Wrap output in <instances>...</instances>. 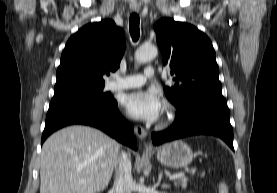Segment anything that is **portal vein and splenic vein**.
<instances>
[{
    "label": "portal vein and splenic vein",
    "mask_w": 277,
    "mask_h": 193,
    "mask_svg": "<svg viewBox=\"0 0 277 193\" xmlns=\"http://www.w3.org/2000/svg\"><path fill=\"white\" fill-rule=\"evenodd\" d=\"M193 173H195L193 171ZM185 176V173L184 172H181V173H177V174H174L172 176L169 177L170 180H175V179H178V178H183Z\"/></svg>",
    "instance_id": "18ae733b"
}]
</instances>
